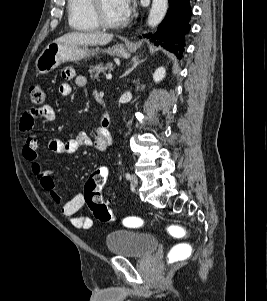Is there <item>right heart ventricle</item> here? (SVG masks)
<instances>
[{
    "mask_svg": "<svg viewBox=\"0 0 267 301\" xmlns=\"http://www.w3.org/2000/svg\"><path fill=\"white\" fill-rule=\"evenodd\" d=\"M68 21L72 29L93 32L100 29L92 12V0H68Z\"/></svg>",
    "mask_w": 267,
    "mask_h": 301,
    "instance_id": "obj_1",
    "label": "right heart ventricle"
}]
</instances>
